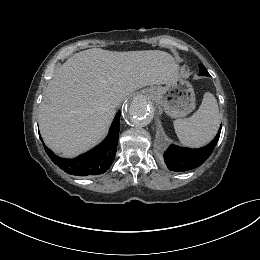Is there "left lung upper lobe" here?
<instances>
[{"label": "left lung upper lobe", "mask_w": 260, "mask_h": 260, "mask_svg": "<svg viewBox=\"0 0 260 260\" xmlns=\"http://www.w3.org/2000/svg\"><path fill=\"white\" fill-rule=\"evenodd\" d=\"M200 75L210 76V74L208 73L206 68L204 66H202V65H200Z\"/></svg>", "instance_id": "left-lung-upper-lobe-1"}]
</instances>
